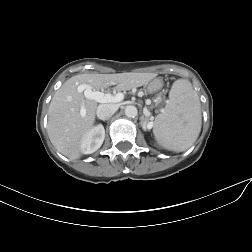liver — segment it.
<instances>
[{"label":"liver","mask_w":252,"mask_h":252,"mask_svg":"<svg viewBox=\"0 0 252 252\" xmlns=\"http://www.w3.org/2000/svg\"><path fill=\"white\" fill-rule=\"evenodd\" d=\"M152 73L79 74L66 80L54 94L48 109V136L53 146L70 159L81 157L80 145L95 122L97 101L86 98L78 86L87 84L95 90L115 85L118 91L148 84ZM85 115H81V110Z\"/></svg>","instance_id":"liver-1"}]
</instances>
